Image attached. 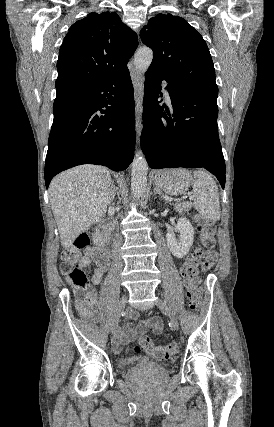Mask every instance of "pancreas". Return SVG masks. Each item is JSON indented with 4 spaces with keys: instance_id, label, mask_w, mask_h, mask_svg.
Masks as SVG:
<instances>
[{
    "instance_id": "pancreas-1",
    "label": "pancreas",
    "mask_w": 274,
    "mask_h": 427,
    "mask_svg": "<svg viewBox=\"0 0 274 427\" xmlns=\"http://www.w3.org/2000/svg\"><path fill=\"white\" fill-rule=\"evenodd\" d=\"M192 208V204L190 202H183V204H175V210L177 212H188Z\"/></svg>"
}]
</instances>
